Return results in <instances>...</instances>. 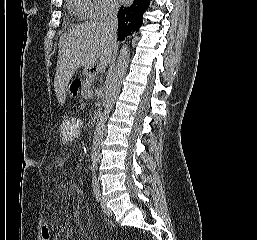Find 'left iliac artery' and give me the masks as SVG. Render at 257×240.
<instances>
[{
  "instance_id": "44dca946",
  "label": "left iliac artery",
  "mask_w": 257,
  "mask_h": 240,
  "mask_svg": "<svg viewBox=\"0 0 257 240\" xmlns=\"http://www.w3.org/2000/svg\"><path fill=\"white\" fill-rule=\"evenodd\" d=\"M93 192H94V195H95V198L97 199V201L100 200V196H101V193H100V188H99V184L98 182L95 180L93 182Z\"/></svg>"
}]
</instances>
